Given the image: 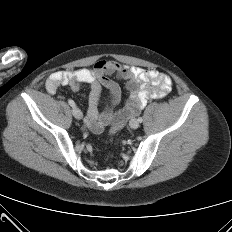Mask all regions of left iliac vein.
Listing matches in <instances>:
<instances>
[{"label":"left iliac vein","mask_w":232,"mask_h":232,"mask_svg":"<svg viewBox=\"0 0 232 232\" xmlns=\"http://www.w3.org/2000/svg\"><path fill=\"white\" fill-rule=\"evenodd\" d=\"M130 127L133 129H137L139 127V122L137 119H132L129 123Z\"/></svg>","instance_id":"obj_1"}]
</instances>
